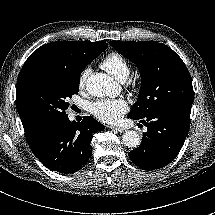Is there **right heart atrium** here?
<instances>
[{
    "label": "right heart atrium",
    "instance_id": "obj_1",
    "mask_svg": "<svg viewBox=\"0 0 215 215\" xmlns=\"http://www.w3.org/2000/svg\"><path fill=\"white\" fill-rule=\"evenodd\" d=\"M90 72H91V69L89 67L84 68L80 72L79 77H78V85H77L79 91H82L85 89L86 82H87Z\"/></svg>",
    "mask_w": 215,
    "mask_h": 215
}]
</instances>
